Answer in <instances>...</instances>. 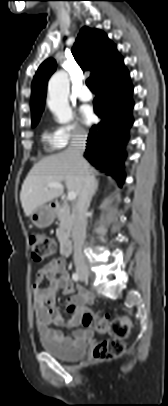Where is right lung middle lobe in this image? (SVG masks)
Listing matches in <instances>:
<instances>
[{"label": "right lung middle lobe", "instance_id": "1", "mask_svg": "<svg viewBox=\"0 0 168 406\" xmlns=\"http://www.w3.org/2000/svg\"><path fill=\"white\" fill-rule=\"evenodd\" d=\"M37 123L38 121L32 122V127L36 126Z\"/></svg>", "mask_w": 168, "mask_h": 406}]
</instances>
